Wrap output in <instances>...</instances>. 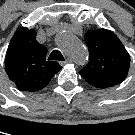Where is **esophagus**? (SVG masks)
Returning <instances> with one entry per match:
<instances>
[{"label": "esophagus", "mask_w": 135, "mask_h": 135, "mask_svg": "<svg viewBox=\"0 0 135 135\" xmlns=\"http://www.w3.org/2000/svg\"><path fill=\"white\" fill-rule=\"evenodd\" d=\"M70 62H72V60L70 58H67L65 61H60L59 63H60V65H65Z\"/></svg>", "instance_id": "1"}]
</instances>
